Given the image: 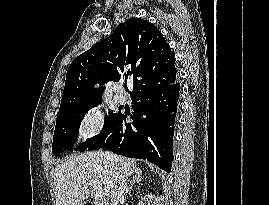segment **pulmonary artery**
Returning a JSON list of instances; mask_svg holds the SVG:
<instances>
[{"instance_id": "1", "label": "pulmonary artery", "mask_w": 269, "mask_h": 205, "mask_svg": "<svg viewBox=\"0 0 269 205\" xmlns=\"http://www.w3.org/2000/svg\"><path fill=\"white\" fill-rule=\"evenodd\" d=\"M114 100L117 104H124L126 102V96L122 91H117L114 95Z\"/></svg>"}]
</instances>
